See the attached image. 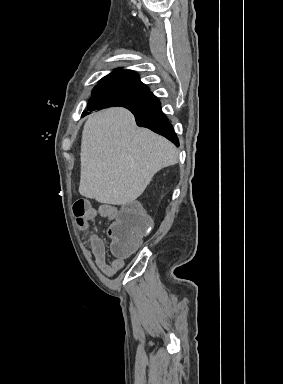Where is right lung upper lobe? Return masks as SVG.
<instances>
[{
	"mask_svg": "<svg viewBox=\"0 0 283 384\" xmlns=\"http://www.w3.org/2000/svg\"><path fill=\"white\" fill-rule=\"evenodd\" d=\"M97 86H120L149 91L138 75L131 70H116L102 78Z\"/></svg>",
	"mask_w": 283,
	"mask_h": 384,
	"instance_id": "right-lung-upper-lobe-1",
	"label": "right lung upper lobe"
}]
</instances>
